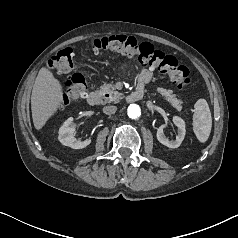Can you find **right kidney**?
I'll return each instance as SVG.
<instances>
[{
    "mask_svg": "<svg viewBox=\"0 0 238 238\" xmlns=\"http://www.w3.org/2000/svg\"><path fill=\"white\" fill-rule=\"evenodd\" d=\"M75 132V125L73 122V118H68L64 124L60 127L58 132L59 141L65 145L69 146L73 149H83L91 143L90 139L79 141L73 137V133Z\"/></svg>",
    "mask_w": 238,
    "mask_h": 238,
    "instance_id": "right-kidney-1",
    "label": "right kidney"
}]
</instances>
